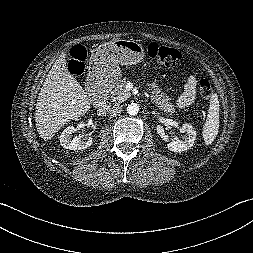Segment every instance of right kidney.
<instances>
[{
	"instance_id": "obj_1",
	"label": "right kidney",
	"mask_w": 253,
	"mask_h": 253,
	"mask_svg": "<svg viewBox=\"0 0 253 253\" xmlns=\"http://www.w3.org/2000/svg\"><path fill=\"white\" fill-rule=\"evenodd\" d=\"M76 132L75 127H67L60 135V143L62 147L70 150H84L90 147L93 143V139L90 136L74 137L71 135Z\"/></svg>"
}]
</instances>
